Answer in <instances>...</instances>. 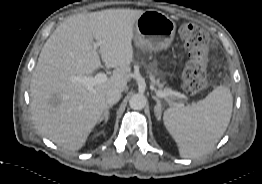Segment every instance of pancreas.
<instances>
[{
  "mask_svg": "<svg viewBox=\"0 0 262 184\" xmlns=\"http://www.w3.org/2000/svg\"><path fill=\"white\" fill-rule=\"evenodd\" d=\"M151 80L153 81V83H155L160 89L163 88V84L160 83L158 80H155L154 77L151 75ZM162 91L169 93V95L167 96V101L172 104L175 103L177 101H180L182 98H180L179 96L175 95L174 91L171 90L170 88H164Z\"/></svg>",
  "mask_w": 262,
  "mask_h": 184,
  "instance_id": "pancreas-1",
  "label": "pancreas"
}]
</instances>
